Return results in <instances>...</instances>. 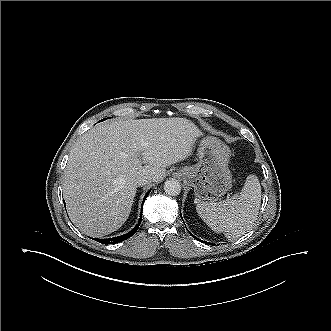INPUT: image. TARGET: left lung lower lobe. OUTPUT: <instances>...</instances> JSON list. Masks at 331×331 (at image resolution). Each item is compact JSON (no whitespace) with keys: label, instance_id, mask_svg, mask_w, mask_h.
Returning a JSON list of instances; mask_svg holds the SVG:
<instances>
[{"label":"left lung lower lobe","instance_id":"obj_1","mask_svg":"<svg viewBox=\"0 0 331 331\" xmlns=\"http://www.w3.org/2000/svg\"><path fill=\"white\" fill-rule=\"evenodd\" d=\"M182 218V217H181ZM183 220V219H182ZM191 236H193V235H191ZM194 237V236H193ZM194 238H196V237H194ZM197 240H199V241H201L200 239H198V238H196ZM201 242H203V241H201ZM204 243H207V242H204ZM208 244H210V243H208ZM211 245V244H210Z\"/></svg>","mask_w":331,"mask_h":331}]
</instances>
